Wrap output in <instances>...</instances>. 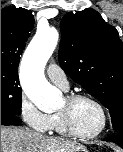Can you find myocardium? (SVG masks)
Listing matches in <instances>:
<instances>
[{
    "label": "myocardium",
    "mask_w": 123,
    "mask_h": 152,
    "mask_svg": "<svg viewBox=\"0 0 123 152\" xmlns=\"http://www.w3.org/2000/svg\"><path fill=\"white\" fill-rule=\"evenodd\" d=\"M88 100L91 103H93L100 111L102 122L100 127L93 133H81L76 130V128L73 125L71 113H70V107L78 100ZM65 100L67 102V108L63 111H59V116L61 118L62 124L67 131V133L73 137L80 138V139H92L97 136H99L103 131L106 129L108 124V115L106 112L105 107L102 105V103L96 99L94 96L87 94V93H71L68 94L65 97Z\"/></svg>",
    "instance_id": "f54148a6"
}]
</instances>
